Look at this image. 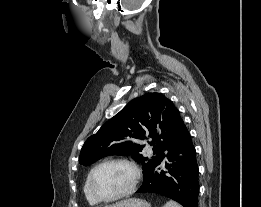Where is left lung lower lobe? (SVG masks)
<instances>
[{
    "instance_id": "1",
    "label": "left lung lower lobe",
    "mask_w": 261,
    "mask_h": 207,
    "mask_svg": "<svg viewBox=\"0 0 261 207\" xmlns=\"http://www.w3.org/2000/svg\"><path fill=\"white\" fill-rule=\"evenodd\" d=\"M164 158L144 177L136 193L159 194L184 207H198L199 171L196 150L184 123L178 138L168 150L166 161Z\"/></svg>"
}]
</instances>
